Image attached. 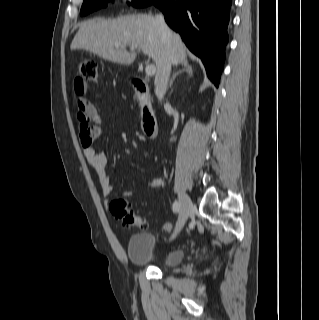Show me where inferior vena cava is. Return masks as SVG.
<instances>
[{"label": "inferior vena cava", "mask_w": 319, "mask_h": 320, "mask_svg": "<svg viewBox=\"0 0 319 320\" xmlns=\"http://www.w3.org/2000/svg\"><path fill=\"white\" fill-rule=\"evenodd\" d=\"M155 19L158 23L161 37L167 42L166 54L161 69V74L155 87V94L157 98L161 101L167 91L168 81L171 72V65L174 61V56L170 45L172 33L165 23L164 16L161 14L156 15Z\"/></svg>", "instance_id": "inferior-vena-cava-1"}]
</instances>
